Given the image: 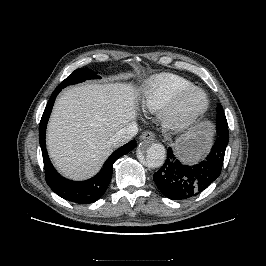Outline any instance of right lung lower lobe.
<instances>
[{
    "mask_svg": "<svg viewBox=\"0 0 266 266\" xmlns=\"http://www.w3.org/2000/svg\"><path fill=\"white\" fill-rule=\"evenodd\" d=\"M62 88L57 86V88L52 93L47 106L42 115L40 126H39V142L42 150L45 179L49 187L60 197L65 200L79 203L88 204L97 201L103 193L106 191L113 172L114 162L121 156L129 153L136 147V141L132 140L129 143L123 145L117 149L104 163L100 172L93 178L76 182L65 179L62 177L51 164L45 144V132L47 122L55 101L56 96L61 91Z\"/></svg>",
    "mask_w": 266,
    "mask_h": 266,
    "instance_id": "obj_1",
    "label": "right lung lower lobe"
}]
</instances>
